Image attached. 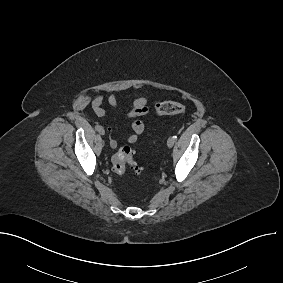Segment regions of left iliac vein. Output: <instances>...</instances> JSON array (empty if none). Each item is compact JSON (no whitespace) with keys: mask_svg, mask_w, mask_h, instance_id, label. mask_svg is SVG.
Returning a JSON list of instances; mask_svg holds the SVG:
<instances>
[{"mask_svg":"<svg viewBox=\"0 0 283 283\" xmlns=\"http://www.w3.org/2000/svg\"><path fill=\"white\" fill-rule=\"evenodd\" d=\"M176 142L175 138L174 137H169L168 140H167V146L169 148L173 147L174 143Z\"/></svg>","mask_w":283,"mask_h":283,"instance_id":"1","label":"left iliac vein"}]
</instances>
